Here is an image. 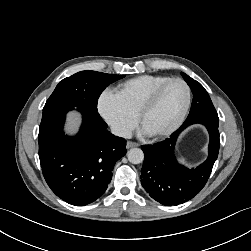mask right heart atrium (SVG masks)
I'll return each instance as SVG.
<instances>
[{"instance_id":"right-heart-atrium-1","label":"right heart atrium","mask_w":251,"mask_h":251,"mask_svg":"<svg viewBox=\"0 0 251 251\" xmlns=\"http://www.w3.org/2000/svg\"><path fill=\"white\" fill-rule=\"evenodd\" d=\"M97 110L114 133L127 137L135 128L137 116L131 112L112 90L106 89L98 97Z\"/></svg>"}]
</instances>
